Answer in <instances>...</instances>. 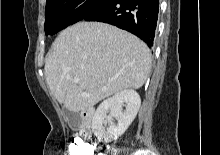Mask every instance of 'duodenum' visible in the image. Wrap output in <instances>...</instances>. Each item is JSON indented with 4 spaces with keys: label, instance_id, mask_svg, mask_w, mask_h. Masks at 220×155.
I'll use <instances>...</instances> for the list:
<instances>
[{
    "label": "duodenum",
    "instance_id": "410a0bca",
    "mask_svg": "<svg viewBox=\"0 0 220 155\" xmlns=\"http://www.w3.org/2000/svg\"><path fill=\"white\" fill-rule=\"evenodd\" d=\"M93 115L94 110L91 108L85 109L81 112L80 135L82 138H88L91 135Z\"/></svg>",
    "mask_w": 220,
    "mask_h": 155
}]
</instances>
